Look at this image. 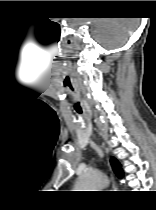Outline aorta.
Listing matches in <instances>:
<instances>
[{"label": "aorta", "mask_w": 156, "mask_h": 210, "mask_svg": "<svg viewBox=\"0 0 156 210\" xmlns=\"http://www.w3.org/2000/svg\"><path fill=\"white\" fill-rule=\"evenodd\" d=\"M108 181L104 174L95 170H86L78 178L76 189L78 191H97L107 185Z\"/></svg>", "instance_id": "1"}]
</instances>
